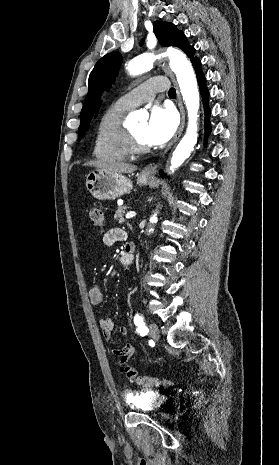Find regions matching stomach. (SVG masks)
<instances>
[{
    "instance_id": "stomach-1",
    "label": "stomach",
    "mask_w": 279,
    "mask_h": 465,
    "mask_svg": "<svg viewBox=\"0 0 279 465\" xmlns=\"http://www.w3.org/2000/svg\"><path fill=\"white\" fill-rule=\"evenodd\" d=\"M151 177L138 175L137 184L147 185ZM85 185L91 195L99 200L116 199L132 190V181L120 173L95 170L86 175Z\"/></svg>"
}]
</instances>
